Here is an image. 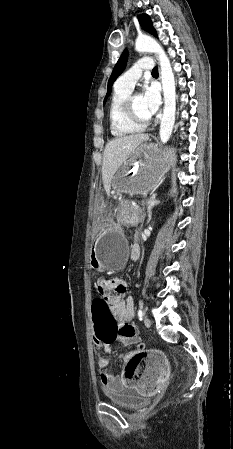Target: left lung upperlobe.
<instances>
[{
  "instance_id": "5c2ea615",
  "label": "left lung upper lobe",
  "mask_w": 233,
  "mask_h": 449,
  "mask_svg": "<svg viewBox=\"0 0 233 449\" xmlns=\"http://www.w3.org/2000/svg\"><path fill=\"white\" fill-rule=\"evenodd\" d=\"M138 20L144 30L148 31L149 33L153 34L154 36H157L156 30L153 28L152 21L147 14L139 15ZM127 58H128V51H127V49H125L123 51L122 55L120 56L118 62L114 66L113 72L109 78L107 94L104 99V104H105L107 98L109 97V95L111 94L112 85H113L114 81L118 78V76L125 69L126 63H127Z\"/></svg>"
}]
</instances>
